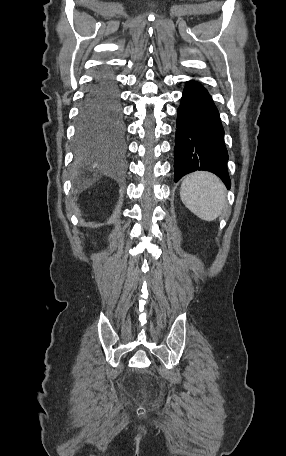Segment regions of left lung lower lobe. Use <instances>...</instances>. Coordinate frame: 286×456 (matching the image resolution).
Listing matches in <instances>:
<instances>
[{"label":"left lung lower lobe","mask_w":286,"mask_h":456,"mask_svg":"<svg viewBox=\"0 0 286 456\" xmlns=\"http://www.w3.org/2000/svg\"><path fill=\"white\" fill-rule=\"evenodd\" d=\"M177 113L174 181L190 172L205 170L219 176L229 189L224 129L208 91L200 83L189 81Z\"/></svg>","instance_id":"obj_1"}]
</instances>
